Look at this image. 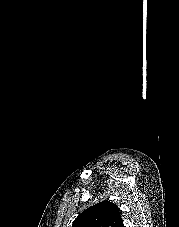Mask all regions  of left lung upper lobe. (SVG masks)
Instances as JSON below:
<instances>
[{
  "label": "left lung upper lobe",
  "mask_w": 179,
  "mask_h": 227,
  "mask_svg": "<svg viewBox=\"0 0 179 227\" xmlns=\"http://www.w3.org/2000/svg\"><path fill=\"white\" fill-rule=\"evenodd\" d=\"M72 227H124L118 207L109 201L99 202L84 210Z\"/></svg>",
  "instance_id": "1"
}]
</instances>
